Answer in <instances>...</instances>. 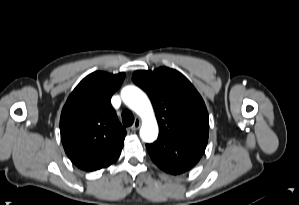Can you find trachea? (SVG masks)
<instances>
[{
	"label": "trachea",
	"instance_id": "3493384b",
	"mask_svg": "<svg viewBox=\"0 0 299 205\" xmlns=\"http://www.w3.org/2000/svg\"><path fill=\"white\" fill-rule=\"evenodd\" d=\"M122 122L124 126H131L134 122V116L130 110H125L122 113Z\"/></svg>",
	"mask_w": 299,
	"mask_h": 205
}]
</instances>
